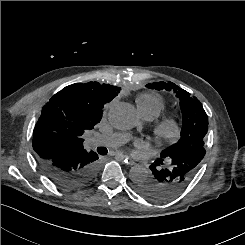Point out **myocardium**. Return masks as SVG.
<instances>
[{
    "mask_svg": "<svg viewBox=\"0 0 245 245\" xmlns=\"http://www.w3.org/2000/svg\"><path fill=\"white\" fill-rule=\"evenodd\" d=\"M182 121L177 114L163 116L153 125V135L159 143H174L182 135Z\"/></svg>",
    "mask_w": 245,
    "mask_h": 245,
    "instance_id": "1",
    "label": "myocardium"
}]
</instances>
